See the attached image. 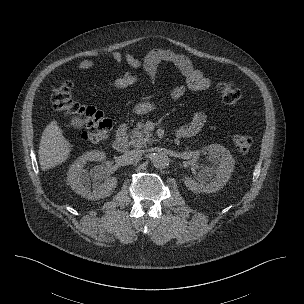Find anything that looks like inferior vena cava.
<instances>
[{"mask_svg": "<svg viewBox=\"0 0 304 304\" xmlns=\"http://www.w3.org/2000/svg\"><path fill=\"white\" fill-rule=\"evenodd\" d=\"M124 155L127 159L136 160L142 157L143 150H130L127 151Z\"/></svg>", "mask_w": 304, "mask_h": 304, "instance_id": "obj_1", "label": "inferior vena cava"}]
</instances>
